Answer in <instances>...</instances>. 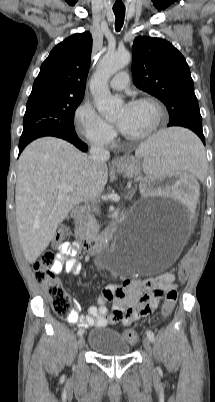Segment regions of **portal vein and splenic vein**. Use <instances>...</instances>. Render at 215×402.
<instances>
[{
  "instance_id": "portal-vein-and-splenic-vein-1",
  "label": "portal vein and splenic vein",
  "mask_w": 215,
  "mask_h": 402,
  "mask_svg": "<svg viewBox=\"0 0 215 402\" xmlns=\"http://www.w3.org/2000/svg\"><path fill=\"white\" fill-rule=\"evenodd\" d=\"M73 187L69 185H61L59 186V195L58 198L62 199L68 192L72 191Z\"/></svg>"
}]
</instances>
